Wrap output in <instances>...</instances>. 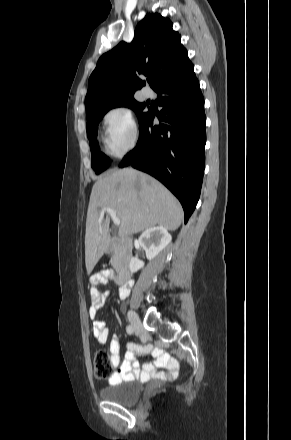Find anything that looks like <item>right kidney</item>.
I'll list each match as a JSON object with an SVG mask.
<instances>
[{"instance_id": "1", "label": "right kidney", "mask_w": 291, "mask_h": 440, "mask_svg": "<svg viewBox=\"0 0 291 440\" xmlns=\"http://www.w3.org/2000/svg\"><path fill=\"white\" fill-rule=\"evenodd\" d=\"M172 240L171 235L167 229L162 226L151 227L144 231L139 237L140 245L146 251L148 260L156 257ZM130 271L135 273L144 267V262L137 257H133L130 261Z\"/></svg>"}]
</instances>
